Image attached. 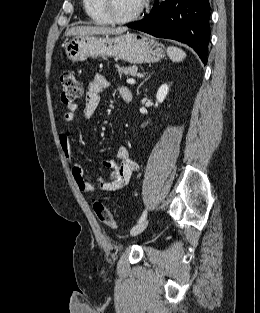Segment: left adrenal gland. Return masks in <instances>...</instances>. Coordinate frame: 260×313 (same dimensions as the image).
<instances>
[{"mask_svg":"<svg viewBox=\"0 0 260 313\" xmlns=\"http://www.w3.org/2000/svg\"><path fill=\"white\" fill-rule=\"evenodd\" d=\"M149 77H150V76H149ZM149 77H147V78L139 85V87H138V89H137V94H139V89H140V87L144 84L145 81H147V80L149 79Z\"/></svg>","mask_w":260,"mask_h":313,"instance_id":"a2214340","label":"left adrenal gland"}]
</instances>
